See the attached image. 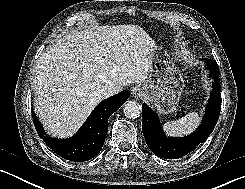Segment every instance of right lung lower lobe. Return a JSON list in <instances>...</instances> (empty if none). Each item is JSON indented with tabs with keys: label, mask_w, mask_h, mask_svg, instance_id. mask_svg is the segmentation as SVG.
Instances as JSON below:
<instances>
[{
	"label": "right lung lower lobe",
	"mask_w": 245,
	"mask_h": 189,
	"mask_svg": "<svg viewBox=\"0 0 245 189\" xmlns=\"http://www.w3.org/2000/svg\"><path fill=\"white\" fill-rule=\"evenodd\" d=\"M129 96V91L124 90L102 101L79 131L68 139L47 136L40 121L32 112L34 125L40 138L62 158L76 162L88 161L102 149L108 130L109 117L122 106Z\"/></svg>",
	"instance_id": "1"
}]
</instances>
